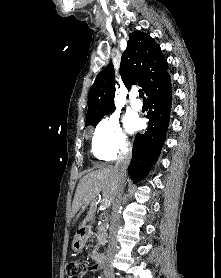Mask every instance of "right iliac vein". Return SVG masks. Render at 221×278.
I'll return each instance as SVG.
<instances>
[{
  "label": "right iliac vein",
  "mask_w": 221,
  "mask_h": 278,
  "mask_svg": "<svg viewBox=\"0 0 221 278\" xmlns=\"http://www.w3.org/2000/svg\"><path fill=\"white\" fill-rule=\"evenodd\" d=\"M107 278H115V276L113 274H109Z\"/></svg>",
  "instance_id": "1"
}]
</instances>
